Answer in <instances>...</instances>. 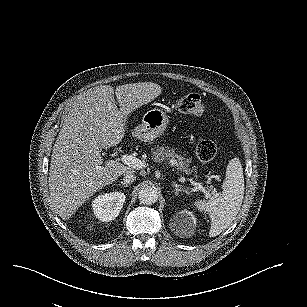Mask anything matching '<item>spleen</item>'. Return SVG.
I'll return each instance as SVG.
<instances>
[{
    "label": "spleen",
    "instance_id": "1",
    "mask_svg": "<svg viewBox=\"0 0 307 307\" xmlns=\"http://www.w3.org/2000/svg\"><path fill=\"white\" fill-rule=\"evenodd\" d=\"M244 192L242 164L238 158H233L227 165L222 194L208 202H196L198 209L211 214V237L225 231L236 218L243 202Z\"/></svg>",
    "mask_w": 307,
    "mask_h": 307
}]
</instances>
